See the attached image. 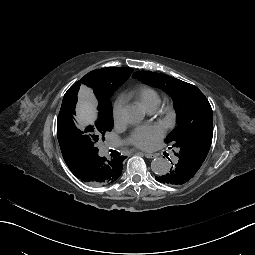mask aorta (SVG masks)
<instances>
[{
    "instance_id": "aorta-1",
    "label": "aorta",
    "mask_w": 255,
    "mask_h": 255,
    "mask_svg": "<svg viewBox=\"0 0 255 255\" xmlns=\"http://www.w3.org/2000/svg\"><path fill=\"white\" fill-rule=\"evenodd\" d=\"M124 120L129 124H137L144 118L143 110L136 105H127L122 112ZM151 169L157 175H164L169 172L170 165L162 157L154 158L151 162Z\"/></svg>"
}]
</instances>
